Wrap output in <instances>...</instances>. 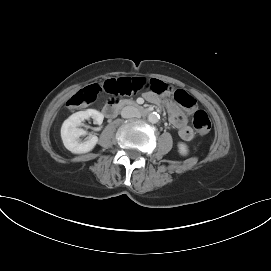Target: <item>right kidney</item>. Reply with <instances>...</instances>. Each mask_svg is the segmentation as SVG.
Listing matches in <instances>:
<instances>
[{
	"label": "right kidney",
	"instance_id": "obj_1",
	"mask_svg": "<svg viewBox=\"0 0 271 271\" xmlns=\"http://www.w3.org/2000/svg\"><path fill=\"white\" fill-rule=\"evenodd\" d=\"M92 118L96 124L101 125L104 119L102 113L94 109H87L72 114L66 119L61 128V138L64 146L75 154H82L91 151L98 142L97 136H90L86 141H80V136L86 131L78 128L85 119Z\"/></svg>",
	"mask_w": 271,
	"mask_h": 271
}]
</instances>
